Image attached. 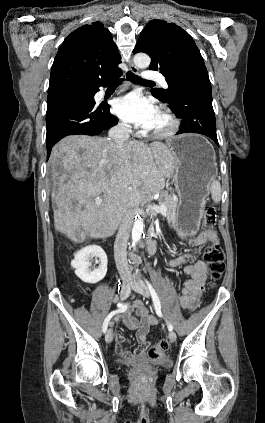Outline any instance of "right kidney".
Listing matches in <instances>:
<instances>
[{
    "label": "right kidney",
    "instance_id": "1",
    "mask_svg": "<svg viewBox=\"0 0 265 423\" xmlns=\"http://www.w3.org/2000/svg\"><path fill=\"white\" fill-rule=\"evenodd\" d=\"M99 258L100 265L96 270L91 271L90 258ZM107 255L104 250L97 245L82 248L74 254L71 266L75 269V274L85 283L95 284L102 280L107 273Z\"/></svg>",
    "mask_w": 265,
    "mask_h": 423
}]
</instances>
